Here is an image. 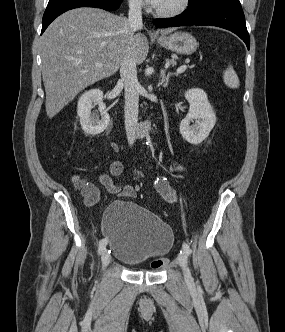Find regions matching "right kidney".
<instances>
[{"label":"right kidney","mask_w":285,"mask_h":332,"mask_svg":"<svg viewBox=\"0 0 285 332\" xmlns=\"http://www.w3.org/2000/svg\"><path fill=\"white\" fill-rule=\"evenodd\" d=\"M93 104L98 105L101 119H99L98 113L91 112ZM105 109L103 92L99 89H91L79 98L77 114L80 118L81 127L86 134L97 135L107 128L110 123V116Z\"/></svg>","instance_id":"right-kidney-1"}]
</instances>
